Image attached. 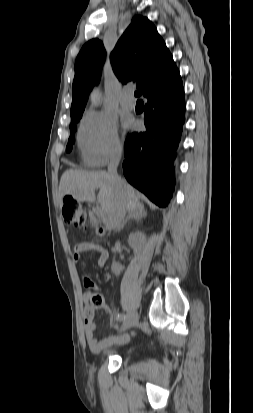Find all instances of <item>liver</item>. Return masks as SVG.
<instances>
[{"instance_id":"obj_1","label":"liver","mask_w":253,"mask_h":413,"mask_svg":"<svg viewBox=\"0 0 253 413\" xmlns=\"http://www.w3.org/2000/svg\"><path fill=\"white\" fill-rule=\"evenodd\" d=\"M122 183L126 195V210L131 212L139 208L143 209L135 189L124 180ZM97 188H99L98 201L102 210L108 215L115 202V189L109 174L104 171L67 170L63 173L59 184L60 206H62V200L66 195L72 196L78 202H94L95 189Z\"/></svg>"}]
</instances>
